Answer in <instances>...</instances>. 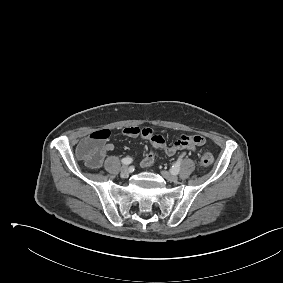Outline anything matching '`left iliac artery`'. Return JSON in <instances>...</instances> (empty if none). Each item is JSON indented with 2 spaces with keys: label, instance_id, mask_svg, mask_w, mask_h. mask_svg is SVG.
Returning <instances> with one entry per match:
<instances>
[{
  "label": "left iliac artery",
  "instance_id": "left-iliac-artery-1",
  "mask_svg": "<svg viewBox=\"0 0 283 283\" xmlns=\"http://www.w3.org/2000/svg\"><path fill=\"white\" fill-rule=\"evenodd\" d=\"M181 162H182V157H179L178 160L176 161V163L171 168V172L173 174H178L179 173Z\"/></svg>",
  "mask_w": 283,
  "mask_h": 283
}]
</instances>
